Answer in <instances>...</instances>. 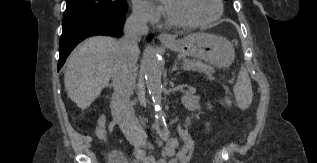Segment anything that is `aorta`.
Wrapping results in <instances>:
<instances>
[{"instance_id":"1","label":"aorta","mask_w":317,"mask_h":163,"mask_svg":"<svg viewBox=\"0 0 317 163\" xmlns=\"http://www.w3.org/2000/svg\"><path fill=\"white\" fill-rule=\"evenodd\" d=\"M143 72L147 89L155 108V122L158 128L165 125V115L162 110V68L158 52L149 47L144 52Z\"/></svg>"}]
</instances>
